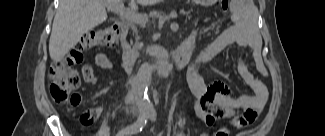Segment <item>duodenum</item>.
<instances>
[{"label": "duodenum", "instance_id": "1", "mask_svg": "<svg viewBox=\"0 0 325 136\" xmlns=\"http://www.w3.org/2000/svg\"><path fill=\"white\" fill-rule=\"evenodd\" d=\"M114 27L118 30L121 38V49L123 52L122 65L126 70L133 71L138 66V62L132 55L131 49L126 41L128 23L126 21L119 20L115 22ZM191 46L192 43H189L187 40L170 51L168 60L172 64L173 70H181L187 65L191 54Z\"/></svg>", "mask_w": 325, "mask_h": 136}]
</instances>
